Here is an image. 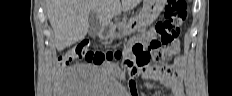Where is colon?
Here are the masks:
<instances>
[{
  "label": "colon",
  "instance_id": "obj_1",
  "mask_svg": "<svg viewBox=\"0 0 232 96\" xmlns=\"http://www.w3.org/2000/svg\"><path fill=\"white\" fill-rule=\"evenodd\" d=\"M187 15L185 0H167L164 10V19L159 21L150 36L147 47L134 45L123 59V66L133 75L146 68H150V51L157 60L174 53L173 44L178 38L182 24ZM120 51H102L94 49L93 45L83 40L67 51L58 60V67L63 68L71 59H80L95 64H102L112 60H120ZM157 69L156 67H153Z\"/></svg>",
  "mask_w": 232,
  "mask_h": 96
}]
</instances>
